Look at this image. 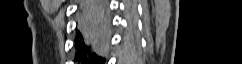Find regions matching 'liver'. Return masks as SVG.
<instances>
[{
    "label": "liver",
    "instance_id": "1",
    "mask_svg": "<svg viewBox=\"0 0 242 64\" xmlns=\"http://www.w3.org/2000/svg\"><path fill=\"white\" fill-rule=\"evenodd\" d=\"M79 25L80 29H83L86 35L92 38L93 41H96L99 38H104L107 35L108 27L103 28L97 20L86 21L81 18Z\"/></svg>",
    "mask_w": 242,
    "mask_h": 64
}]
</instances>
